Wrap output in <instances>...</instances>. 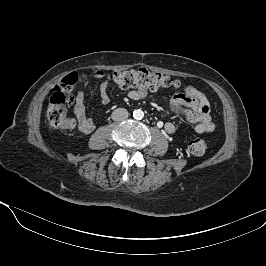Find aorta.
<instances>
[{
  "label": "aorta",
  "mask_w": 266,
  "mask_h": 266,
  "mask_svg": "<svg viewBox=\"0 0 266 266\" xmlns=\"http://www.w3.org/2000/svg\"><path fill=\"white\" fill-rule=\"evenodd\" d=\"M133 117L135 119L141 120L144 117V112L141 109H137L133 112Z\"/></svg>",
  "instance_id": "762f6f07"
}]
</instances>
